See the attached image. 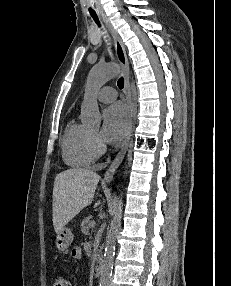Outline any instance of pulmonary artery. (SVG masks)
Wrapping results in <instances>:
<instances>
[{
  "instance_id": "obj_1",
  "label": "pulmonary artery",
  "mask_w": 231,
  "mask_h": 286,
  "mask_svg": "<svg viewBox=\"0 0 231 286\" xmlns=\"http://www.w3.org/2000/svg\"><path fill=\"white\" fill-rule=\"evenodd\" d=\"M117 97V92L113 87L105 86L98 93L97 98L100 102L110 103Z\"/></svg>"
}]
</instances>
